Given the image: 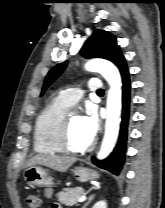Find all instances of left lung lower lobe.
Here are the masks:
<instances>
[{"label":"left lung lower lobe","mask_w":165,"mask_h":208,"mask_svg":"<svg viewBox=\"0 0 165 208\" xmlns=\"http://www.w3.org/2000/svg\"><path fill=\"white\" fill-rule=\"evenodd\" d=\"M122 77V117L118 144L111 155L105 160L92 159L98 167L119 175L125 162L128 126L130 123V80L129 72L124 57L116 65Z\"/></svg>","instance_id":"obj_1"}]
</instances>
